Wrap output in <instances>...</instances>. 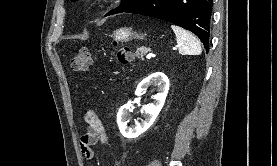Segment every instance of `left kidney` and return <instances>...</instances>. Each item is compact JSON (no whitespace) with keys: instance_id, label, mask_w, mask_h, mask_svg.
Here are the masks:
<instances>
[{"instance_id":"1","label":"left kidney","mask_w":277,"mask_h":166,"mask_svg":"<svg viewBox=\"0 0 277 166\" xmlns=\"http://www.w3.org/2000/svg\"><path fill=\"white\" fill-rule=\"evenodd\" d=\"M149 86H156L157 93L154 96V102L143 109L144 120L141 123L132 127L127 125L132 108L131 100L118 111L117 124L121 134L126 138H136L149 129L163 108L169 90L168 77L161 72L151 74L139 83L135 94L138 96L144 94Z\"/></svg>"}]
</instances>
